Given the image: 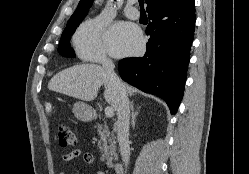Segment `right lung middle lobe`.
Masks as SVG:
<instances>
[{
    "mask_svg": "<svg viewBox=\"0 0 249 174\" xmlns=\"http://www.w3.org/2000/svg\"><path fill=\"white\" fill-rule=\"evenodd\" d=\"M80 22L81 21L67 23V26L62 33L58 47V52L63 57H69V58L75 57L74 51L70 46V38L73 35L76 28L78 27V25L80 24Z\"/></svg>",
    "mask_w": 249,
    "mask_h": 174,
    "instance_id": "dd1d6c3e",
    "label": "right lung middle lobe"
}]
</instances>
